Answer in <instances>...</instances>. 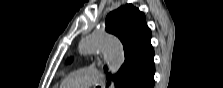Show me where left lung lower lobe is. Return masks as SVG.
Masks as SVG:
<instances>
[{
    "mask_svg": "<svg viewBox=\"0 0 223 88\" xmlns=\"http://www.w3.org/2000/svg\"><path fill=\"white\" fill-rule=\"evenodd\" d=\"M154 73L155 65L151 61L143 70L133 71L119 80L116 88H153Z\"/></svg>",
    "mask_w": 223,
    "mask_h": 88,
    "instance_id": "1",
    "label": "left lung lower lobe"
}]
</instances>
